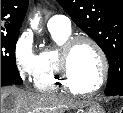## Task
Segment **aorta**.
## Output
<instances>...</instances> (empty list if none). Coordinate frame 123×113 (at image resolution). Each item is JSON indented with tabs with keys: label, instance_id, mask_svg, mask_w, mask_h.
I'll use <instances>...</instances> for the list:
<instances>
[{
	"label": "aorta",
	"instance_id": "762f6f07",
	"mask_svg": "<svg viewBox=\"0 0 123 113\" xmlns=\"http://www.w3.org/2000/svg\"><path fill=\"white\" fill-rule=\"evenodd\" d=\"M39 22H40V16L36 14L35 17L31 20V23H30L31 28L33 30H38Z\"/></svg>",
	"mask_w": 123,
	"mask_h": 113
}]
</instances>
